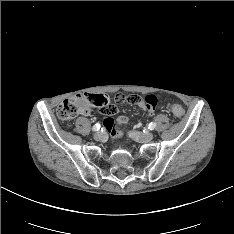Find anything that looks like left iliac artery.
I'll return each mask as SVG.
<instances>
[{
  "label": "left iliac artery",
  "instance_id": "obj_1",
  "mask_svg": "<svg viewBox=\"0 0 234 234\" xmlns=\"http://www.w3.org/2000/svg\"><path fill=\"white\" fill-rule=\"evenodd\" d=\"M156 128V123L155 122H151L148 126L149 130H154Z\"/></svg>",
  "mask_w": 234,
  "mask_h": 234
}]
</instances>
